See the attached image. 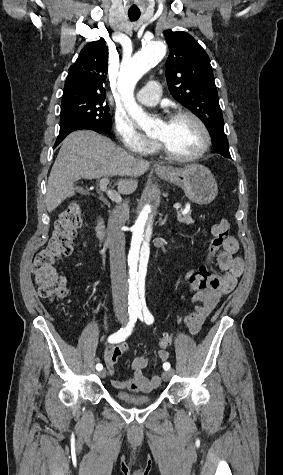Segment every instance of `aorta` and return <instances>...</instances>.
<instances>
[{"label":"aorta","mask_w":283,"mask_h":475,"mask_svg":"<svg viewBox=\"0 0 283 475\" xmlns=\"http://www.w3.org/2000/svg\"><path fill=\"white\" fill-rule=\"evenodd\" d=\"M167 47L162 41L146 44L131 58L125 59L120 68L117 81L118 91L129 115L146 133L157 130L159 122L150 118L136 103L134 88L139 79L166 55ZM163 189L159 183L148 185L143 193L135 220L130 227L132 234L128 253L129 294L131 308L141 309L145 306V278L147 275L150 242L154 227L161 216L163 207Z\"/></svg>","instance_id":"1"}]
</instances>
